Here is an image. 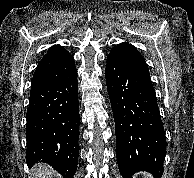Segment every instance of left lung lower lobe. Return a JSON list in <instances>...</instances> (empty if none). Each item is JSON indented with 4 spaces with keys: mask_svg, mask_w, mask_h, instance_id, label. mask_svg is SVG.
Wrapping results in <instances>:
<instances>
[{
    "mask_svg": "<svg viewBox=\"0 0 194 178\" xmlns=\"http://www.w3.org/2000/svg\"><path fill=\"white\" fill-rule=\"evenodd\" d=\"M106 84L116 130V156L121 175L147 171L160 178L166 137L150 75L108 57Z\"/></svg>",
    "mask_w": 194,
    "mask_h": 178,
    "instance_id": "left-lung-lower-lobe-1",
    "label": "left lung lower lobe"
}]
</instances>
